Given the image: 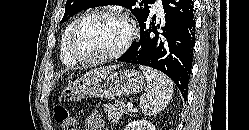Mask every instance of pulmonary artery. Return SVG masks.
Wrapping results in <instances>:
<instances>
[{
    "label": "pulmonary artery",
    "mask_w": 249,
    "mask_h": 130,
    "mask_svg": "<svg viewBox=\"0 0 249 130\" xmlns=\"http://www.w3.org/2000/svg\"><path fill=\"white\" fill-rule=\"evenodd\" d=\"M153 9L159 13L162 14L163 13V7H162V3L161 0H157L153 6Z\"/></svg>",
    "instance_id": "e3ab8cb5"
}]
</instances>
